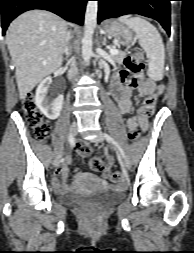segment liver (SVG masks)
<instances>
[{"label": "liver", "mask_w": 194, "mask_h": 253, "mask_svg": "<svg viewBox=\"0 0 194 253\" xmlns=\"http://www.w3.org/2000/svg\"><path fill=\"white\" fill-rule=\"evenodd\" d=\"M67 25L44 10L25 12L10 24L6 44L16 68L20 99L62 65Z\"/></svg>", "instance_id": "obj_1"}]
</instances>
